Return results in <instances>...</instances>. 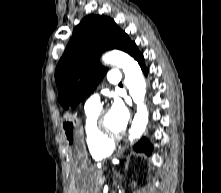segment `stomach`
Wrapping results in <instances>:
<instances>
[{"label": "stomach", "mask_w": 221, "mask_h": 193, "mask_svg": "<svg viewBox=\"0 0 221 193\" xmlns=\"http://www.w3.org/2000/svg\"><path fill=\"white\" fill-rule=\"evenodd\" d=\"M64 118L65 120H61L60 134H65V142H68L72 155V167H75L77 183L76 193H96L95 179L98 177L99 169H96L95 164L88 162L82 122L78 120V115H65Z\"/></svg>", "instance_id": "0dacf381"}]
</instances>
